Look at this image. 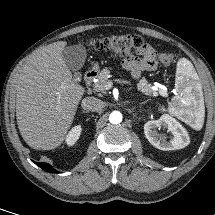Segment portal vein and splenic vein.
Returning <instances> with one entry per match:
<instances>
[{"mask_svg": "<svg viewBox=\"0 0 215 215\" xmlns=\"http://www.w3.org/2000/svg\"><path fill=\"white\" fill-rule=\"evenodd\" d=\"M112 85H113V82L110 81V82H108V83L105 85V87H106V89H109V88L112 87Z\"/></svg>", "mask_w": 215, "mask_h": 215, "instance_id": "portal-vein-and-splenic-vein-1", "label": "portal vein and splenic vein"}]
</instances>
